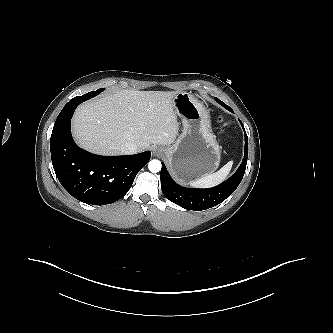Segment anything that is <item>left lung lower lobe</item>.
I'll return each mask as SVG.
<instances>
[{
  "mask_svg": "<svg viewBox=\"0 0 333 333\" xmlns=\"http://www.w3.org/2000/svg\"><path fill=\"white\" fill-rule=\"evenodd\" d=\"M215 100L228 111L233 112L224 102L218 98ZM242 127L244 129L243 125ZM247 157L248 137L245 132V154L240 167L225 182L208 189L185 188L176 184L162 163L160 174L162 192L168 200L185 209L200 211L214 207L229 197L240 184L246 170Z\"/></svg>",
  "mask_w": 333,
  "mask_h": 333,
  "instance_id": "1",
  "label": "left lung lower lobe"
}]
</instances>
